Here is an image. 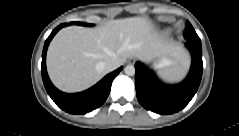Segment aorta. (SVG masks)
<instances>
[{"mask_svg":"<svg viewBox=\"0 0 239 136\" xmlns=\"http://www.w3.org/2000/svg\"><path fill=\"white\" fill-rule=\"evenodd\" d=\"M125 74L128 76H133L135 75V67L134 65H127L124 69Z\"/></svg>","mask_w":239,"mask_h":136,"instance_id":"1","label":"aorta"}]
</instances>
